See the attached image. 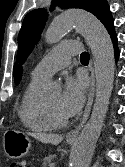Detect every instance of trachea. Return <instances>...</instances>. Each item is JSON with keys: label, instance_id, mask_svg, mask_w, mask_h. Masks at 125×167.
<instances>
[{"label": "trachea", "instance_id": "1", "mask_svg": "<svg viewBox=\"0 0 125 167\" xmlns=\"http://www.w3.org/2000/svg\"><path fill=\"white\" fill-rule=\"evenodd\" d=\"M89 53L88 52H83L80 56V60L83 62H88L89 61Z\"/></svg>", "mask_w": 125, "mask_h": 167}]
</instances>
